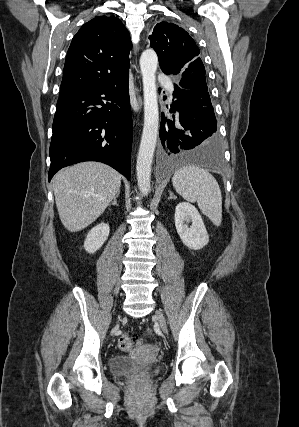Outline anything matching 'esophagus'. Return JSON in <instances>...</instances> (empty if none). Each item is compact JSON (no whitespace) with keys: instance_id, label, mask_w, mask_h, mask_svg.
Wrapping results in <instances>:
<instances>
[{"instance_id":"obj_1","label":"esophagus","mask_w":299,"mask_h":427,"mask_svg":"<svg viewBox=\"0 0 299 427\" xmlns=\"http://www.w3.org/2000/svg\"><path fill=\"white\" fill-rule=\"evenodd\" d=\"M138 103H139V105L141 106V104H142V100H141V97H140V96H138Z\"/></svg>"}]
</instances>
